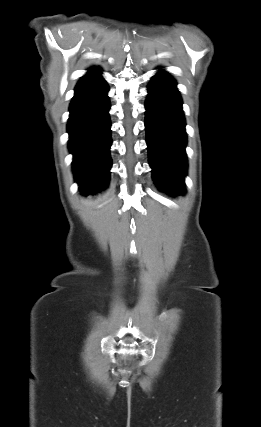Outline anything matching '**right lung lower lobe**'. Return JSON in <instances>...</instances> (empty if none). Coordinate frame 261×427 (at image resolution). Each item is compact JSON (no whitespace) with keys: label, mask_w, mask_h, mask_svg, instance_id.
Instances as JSON below:
<instances>
[{"label":"right lung lower lobe","mask_w":261,"mask_h":427,"mask_svg":"<svg viewBox=\"0 0 261 427\" xmlns=\"http://www.w3.org/2000/svg\"><path fill=\"white\" fill-rule=\"evenodd\" d=\"M95 67L75 87L68 120L75 180L83 194L104 189L112 165L108 86Z\"/></svg>","instance_id":"obj_1"}]
</instances>
